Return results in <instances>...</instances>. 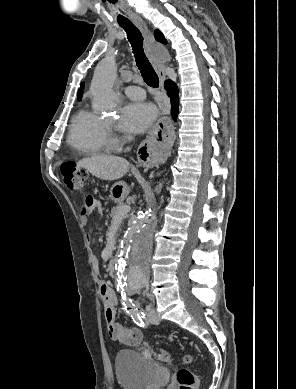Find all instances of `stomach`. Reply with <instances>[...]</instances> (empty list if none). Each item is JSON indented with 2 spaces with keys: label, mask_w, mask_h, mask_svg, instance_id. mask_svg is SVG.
<instances>
[{
  "label": "stomach",
  "mask_w": 296,
  "mask_h": 389,
  "mask_svg": "<svg viewBox=\"0 0 296 389\" xmlns=\"http://www.w3.org/2000/svg\"><path fill=\"white\" fill-rule=\"evenodd\" d=\"M128 191L129 189L124 182H117L113 185L110 196L114 201H120L127 195Z\"/></svg>",
  "instance_id": "stomach-1"
}]
</instances>
